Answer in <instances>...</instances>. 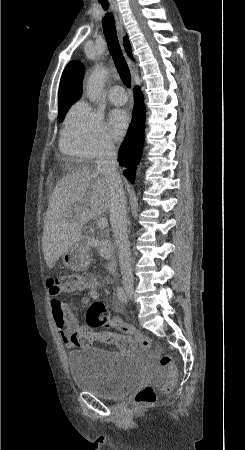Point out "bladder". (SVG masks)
<instances>
[{
  "label": "bladder",
  "instance_id": "bladder-1",
  "mask_svg": "<svg viewBox=\"0 0 245 450\" xmlns=\"http://www.w3.org/2000/svg\"><path fill=\"white\" fill-rule=\"evenodd\" d=\"M66 363L77 389L104 400L123 397L140 388L146 378V366L138 355L98 347L68 352Z\"/></svg>",
  "mask_w": 245,
  "mask_h": 450
}]
</instances>
